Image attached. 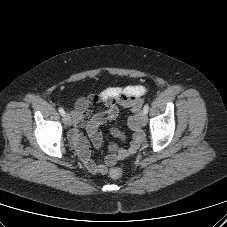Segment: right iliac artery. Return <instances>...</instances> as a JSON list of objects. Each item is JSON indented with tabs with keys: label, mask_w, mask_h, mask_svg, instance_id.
<instances>
[{
	"label": "right iliac artery",
	"mask_w": 227,
	"mask_h": 227,
	"mask_svg": "<svg viewBox=\"0 0 227 227\" xmlns=\"http://www.w3.org/2000/svg\"><path fill=\"white\" fill-rule=\"evenodd\" d=\"M59 112H60V114H61L62 116H64L65 111H64V109H63L62 107H59Z\"/></svg>",
	"instance_id": "82829eb1"
}]
</instances>
